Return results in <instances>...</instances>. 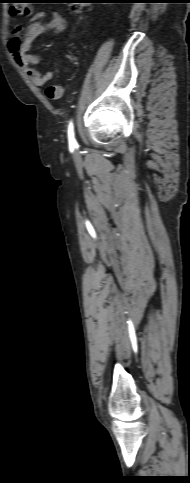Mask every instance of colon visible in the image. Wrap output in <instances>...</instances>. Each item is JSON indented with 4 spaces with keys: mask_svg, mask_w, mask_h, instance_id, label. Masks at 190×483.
<instances>
[{
    "mask_svg": "<svg viewBox=\"0 0 190 483\" xmlns=\"http://www.w3.org/2000/svg\"><path fill=\"white\" fill-rule=\"evenodd\" d=\"M10 14L14 17H25L32 13V3L34 0H14L11 2ZM72 10L76 14H81L84 11L85 3L83 0H75L72 2Z\"/></svg>",
    "mask_w": 190,
    "mask_h": 483,
    "instance_id": "5ec220e1",
    "label": "colon"
}]
</instances>
